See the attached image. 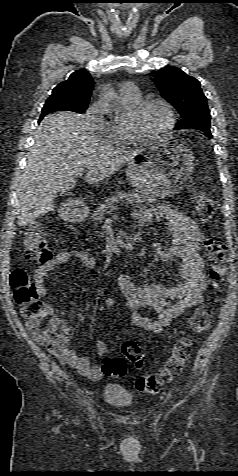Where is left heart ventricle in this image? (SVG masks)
<instances>
[{"instance_id": "1", "label": "left heart ventricle", "mask_w": 238, "mask_h": 476, "mask_svg": "<svg viewBox=\"0 0 238 476\" xmlns=\"http://www.w3.org/2000/svg\"><path fill=\"white\" fill-rule=\"evenodd\" d=\"M129 120L137 129L145 134H155L165 128L168 123L166 110L157 104L150 105L140 115H128Z\"/></svg>"}]
</instances>
